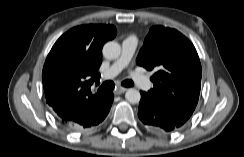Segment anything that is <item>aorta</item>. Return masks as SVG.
Segmentation results:
<instances>
[{"instance_id":"1","label":"aorta","mask_w":244,"mask_h":157,"mask_svg":"<svg viewBox=\"0 0 244 157\" xmlns=\"http://www.w3.org/2000/svg\"><path fill=\"white\" fill-rule=\"evenodd\" d=\"M121 54V47L116 41H109L103 47V55L107 59H116ZM125 98L132 104L139 103L141 99L140 92L134 88H130L125 93Z\"/></svg>"}]
</instances>
